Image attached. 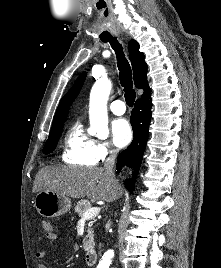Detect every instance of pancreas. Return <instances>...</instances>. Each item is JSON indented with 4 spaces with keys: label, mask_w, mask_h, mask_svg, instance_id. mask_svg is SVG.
I'll list each match as a JSON object with an SVG mask.
<instances>
[{
    "label": "pancreas",
    "mask_w": 221,
    "mask_h": 268,
    "mask_svg": "<svg viewBox=\"0 0 221 268\" xmlns=\"http://www.w3.org/2000/svg\"><path fill=\"white\" fill-rule=\"evenodd\" d=\"M91 208V202L89 200H81L77 203L76 207H75V211L77 212L79 217H83L84 212ZM88 234L86 235V237L83 240V247L85 250H90L94 247V234H93V230L91 228V224L90 227L88 229Z\"/></svg>",
    "instance_id": "cf45deb5"
}]
</instances>
